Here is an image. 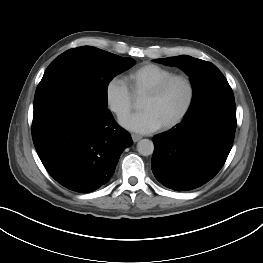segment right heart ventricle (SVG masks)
<instances>
[{"mask_svg":"<svg viewBox=\"0 0 263 263\" xmlns=\"http://www.w3.org/2000/svg\"><path fill=\"white\" fill-rule=\"evenodd\" d=\"M173 71L154 63L143 64L124 76V81L133 95H142Z\"/></svg>","mask_w":263,"mask_h":263,"instance_id":"1","label":"right heart ventricle"}]
</instances>
